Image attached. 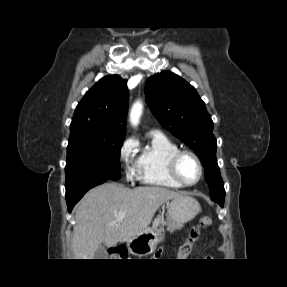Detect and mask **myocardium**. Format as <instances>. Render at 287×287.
Returning <instances> with one entry per match:
<instances>
[{
  "label": "myocardium",
  "instance_id": "myocardium-1",
  "mask_svg": "<svg viewBox=\"0 0 287 287\" xmlns=\"http://www.w3.org/2000/svg\"><path fill=\"white\" fill-rule=\"evenodd\" d=\"M184 156H189V157L193 158L195 160L196 164L198 165L199 177L193 183H186L180 177V174L178 171V165H179L180 160ZM168 168H169V173H170L171 177L174 180H176L181 187H193V186L197 185L201 181L203 174H204V167H203V164H202L199 156L190 150H178L177 152H175L169 159Z\"/></svg>",
  "mask_w": 287,
  "mask_h": 287
}]
</instances>
